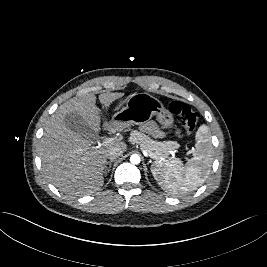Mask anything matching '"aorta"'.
<instances>
[{
  "label": "aorta",
  "instance_id": "1",
  "mask_svg": "<svg viewBox=\"0 0 267 267\" xmlns=\"http://www.w3.org/2000/svg\"><path fill=\"white\" fill-rule=\"evenodd\" d=\"M140 161H141V159H140V156H139V155H137V154H133V155H131V157H130V162H131L132 164L137 165V164L140 163Z\"/></svg>",
  "mask_w": 267,
  "mask_h": 267
}]
</instances>
